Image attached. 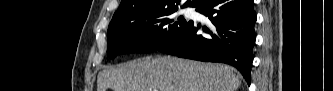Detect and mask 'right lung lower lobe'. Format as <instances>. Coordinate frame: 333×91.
<instances>
[{"instance_id":"obj_1","label":"right lung lower lobe","mask_w":333,"mask_h":91,"mask_svg":"<svg viewBox=\"0 0 333 91\" xmlns=\"http://www.w3.org/2000/svg\"><path fill=\"white\" fill-rule=\"evenodd\" d=\"M209 18L206 34L198 35L200 25L189 21L169 43L157 51L208 62L233 65L250 84L253 46L256 40V14L253 0H204L196 9Z\"/></svg>"}]
</instances>
